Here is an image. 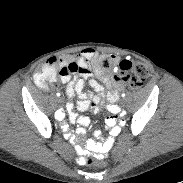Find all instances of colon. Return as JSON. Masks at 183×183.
<instances>
[{"label":"colon","instance_id":"obj_1","mask_svg":"<svg viewBox=\"0 0 183 183\" xmlns=\"http://www.w3.org/2000/svg\"><path fill=\"white\" fill-rule=\"evenodd\" d=\"M98 64L105 72L114 71L115 81L126 84L130 90L140 89L149 75L148 67L144 63L127 59L120 60L110 54H102L98 59ZM55 76L56 69L46 67L40 68L36 72L34 79L40 87L47 88L54 82ZM94 165L95 160L92 157H88V162L85 164V167L92 168Z\"/></svg>","mask_w":183,"mask_h":183}]
</instances>
